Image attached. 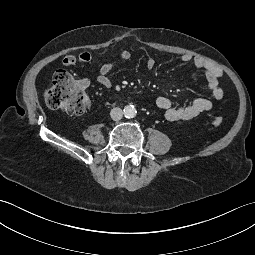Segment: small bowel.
Returning <instances> with one entry per match:
<instances>
[{"label":"small bowel","mask_w":255,"mask_h":255,"mask_svg":"<svg viewBox=\"0 0 255 255\" xmlns=\"http://www.w3.org/2000/svg\"><path fill=\"white\" fill-rule=\"evenodd\" d=\"M131 58V53L123 50L118 57V60L107 62L103 64L97 75V82L103 87L110 88L113 86V81L109 74L116 68L119 63H125ZM91 55L88 52H82L78 55H67L63 58L62 64L65 67H71L76 64H86L90 62ZM182 61L191 63L197 70L203 72L206 81L207 89L212 97L216 100L223 98V90L219 86V79L223 76V70L202 57H195L191 55H183ZM156 62L153 58L146 61V68L149 72H153ZM84 86L89 85L87 79L82 80ZM156 106L164 111L165 118L168 121H189L201 113L207 112L212 108L211 100L203 97L193 99L188 105L176 107L172 101L165 97L159 96L155 100Z\"/></svg>","instance_id":"1"}]
</instances>
